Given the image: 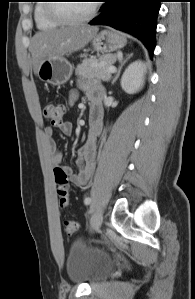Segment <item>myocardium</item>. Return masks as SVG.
Wrapping results in <instances>:
<instances>
[{"instance_id":"1","label":"myocardium","mask_w":195,"mask_h":299,"mask_svg":"<svg viewBox=\"0 0 195 299\" xmlns=\"http://www.w3.org/2000/svg\"><path fill=\"white\" fill-rule=\"evenodd\" d=\"M52 2H57V1H52ZM62 3H48L47 5V13L48 16L60 23V24H68V25H76V24H82L91 21L97 14L98 11V4L96 2L92 3L91 9L89 13L83 17L79 18H73L69 17L67 15L62 14L59 11L60 6Z\"/></svg>"}]
</instances>
